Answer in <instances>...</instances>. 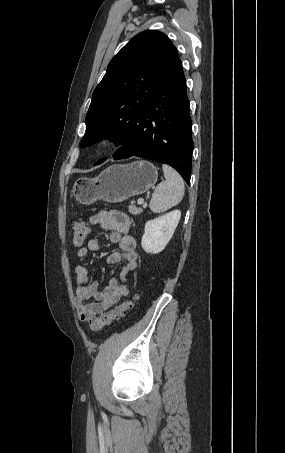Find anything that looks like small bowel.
Segmentation results:
<instances>
[{
    "label": "small bowel",
    "instance_id": "small-bowel-1",
    "mask_svg": "<svg viewBox=\"0 0 285 453\" xmlns=\"http://www.w3.org/2000/svg\"><path fill=\"white\" fill-rule=\"evenodd\" d=\"M89 221L90 224L108 231L110 241L119 247V251H113L107 256V262L124 264L119 276L111 278L102 292L97 291V283L91 280L85 266L75 267V307L78 318L82 321L106 311L129 293L126 283L129 275L136 271L138 259L136 240L130 232L131 221L127 214L117 210L101 211L91 216ZM99 248V241L91 238L85 247L79 249L78 256L87 257L90 252L98 251Z\"/></svg>",
    "mask_w": 285,
    "mask_h": 453
}]
</instances>
